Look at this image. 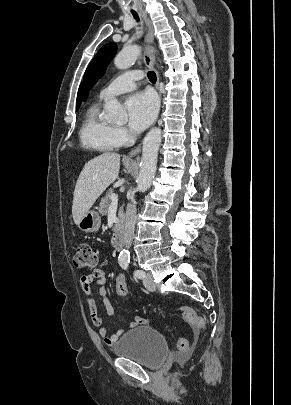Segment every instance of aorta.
I'll list each match as a JSON object with an SVG mask.
<instances>
[{
    "label": "aorta",
    "instance_id": "1",
    "mask_svg": "<svg viewBox=\"0 0 291 405\" xmlns=\"http://www.w3.org/2000/svg\"><path fill=\"white\" fill-rule=\"evenodd\" d=\"M140 47L137 45L128 46L121 50L115 57L114 64L116 68L124 70L131 67L137 60ZM126 112L123 106L112 99L105 104V119L111 122H119L125 118ZM161 129L153 128L145 136L142 147V158L140 162V173L137 179V188L139 192L147 191L154 178L157 169L158 150L161 144ZM130 253L123 249L119 254L120 261H128Z\"/></svg>",
    "mask_w": 291,
    "mask_h": 405
}]
</instances>
